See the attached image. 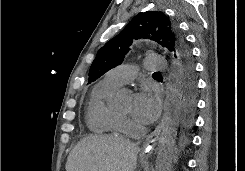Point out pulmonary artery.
Returning a JSON list of instances; mask_svg holds the SVG:
<instances>
[{"mask_svg": "<svg viewBox=\"0 0 245 171\" xmlns=\"http://www.w3.org/2000/svg\"><path fill=\"white\" fill-rule=\"evenodd\" d=\"M167 67V61L159 55H151L145 58L146 71L162 70ZM136 69L133 65L123 64L117 66L105 74L104 81L108 84L119 87L134 78Z\"/></svg>", "mask_w": 245, "mask_h": 171, "instance_id": "1", "label": "pulmonary artery"}]
</instances>
